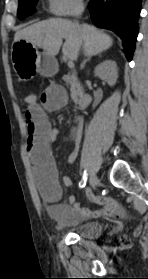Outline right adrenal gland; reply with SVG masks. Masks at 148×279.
<instances>
[{"instance_id": "2a0ac1e0", "label": "right adrenal gland", "mask_w": 148, "mask_h": 279, "mask_svg": "<svg viewBox=\"0 0 148 279\" xmlns=\"http://www.w3.org/2000/svg\"><path fill=\"white\" fill-rule=\"evenodd\" d=\"M90 59H91V56H88V57L82 62L81 68H84V67H85V64H86L88 61H90Z\"/></svg>"}]
</instances>
